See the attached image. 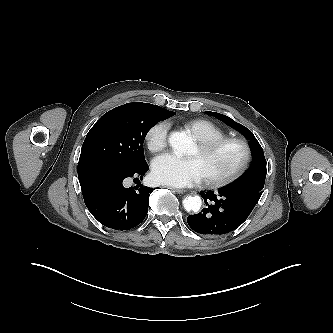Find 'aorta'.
Here are the masks:
<instances>
[{"instance_id": "1", "label": "aorta", "mask_w": 333, "mask_h": 333, "mask_svg": "<svg viewBox=\"0 0 333 333\" xmlns=\"http://www.w3.org/2000/svg\"><path fill=\"white\" fill-rule=\"evenodd\" d=\"M169 144L178 156L185 155L192 147V139L185 133L175 131L169 136ZM202 200L198 195L187 196L183 200V206L186 211L198 212L201 208Z\"/></svg>"}]
</instances>
